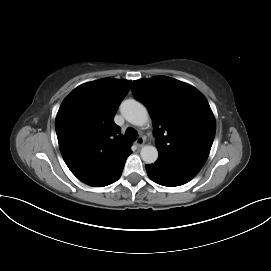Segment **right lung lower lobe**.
I'll return each mask as SVG.
<instances>
[{
    "label": "right lung lower lobe",
    "instance_id": "obj_1",
    "mask_svg": "<svg viewBox=\"0 0 271 271\" xmlns=\"http://www.w3.org/2000/svg\"><path fill=\"white\" fill-rule=\"evenodd\" d=\"M124 164L121 167H119L107 180L103 181L100 184L94 185V186L103 187V186H107V185L112 184L115 181H117L121 176V173H122L123 168H124Z\"/></svg>",
    "mask_w": 271,
    "mask_h": 271
}]
</instances>
